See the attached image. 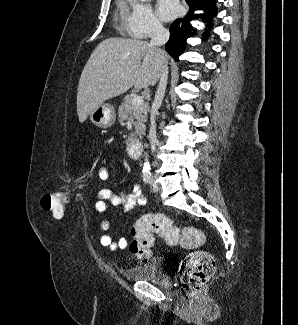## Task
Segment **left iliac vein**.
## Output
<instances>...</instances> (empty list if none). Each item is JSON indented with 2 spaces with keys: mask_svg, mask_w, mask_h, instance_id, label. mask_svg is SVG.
I'll return each instance as SVG.
<instances>
[{
  "mask_svg": "<svg viewBox=\"0 0 298 325\" xmlns=\"http://www.w3.org/2000/svg\"><path fill=\"white\" fill-rule=\"evenodd\" d=\"M150 185H151V189H152L153 192L158 191V186H157V184L155 182L154 177L151 178Z\"/></svg>",
  "mask_w": 298,
  "mask_h": 325,
  "instance_id": "obj_1",
  "label": "left iliac vein"
}]
</instances>
